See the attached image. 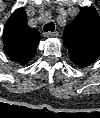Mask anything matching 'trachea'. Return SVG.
<instances>
[{"mask_svg":"<svg viewBox=\"0 0 100 118\" xmlns=\"http://www.w3.org/2000/svg\"><path fill=\"white\" fill-rule=\"evenodd\" d=\"M55 29V25L53 22H49L44 26V31L45 32H53Z\"/></svg>","mask_w":100,"mask_h":118,"instance_id":"3493384b","label":"trachea"}]
</instances>
